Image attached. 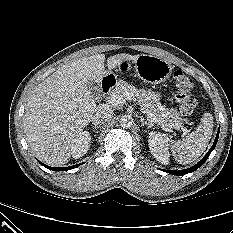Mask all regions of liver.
Returning <instances> with one entry per match:
<instances>
[{
    "label": "liver",
    "mask_w": 233,
    "mask_h": 233,
    "mask_svg": "<svg viewBox=\"0 0 233 233\" xmlns=\"http://www.w3.org/2000/svg\"><path fill=\"white\" fill-rule=\"evenodd\" d=\"M138 55L117 54L107 59L108 69ZM105 54H95L61 66L30 95L23 118L26 139L32 152L50 166L66 164L70 144L97 110L88 81L101 83L108 72Z\"/></svg>",
    "instance_id": "6515ba94"
}]
</instances>
